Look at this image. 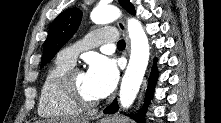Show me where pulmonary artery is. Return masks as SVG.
Masks as SVG:
<instances>
[{"label": "pulmonary artery", "mask_w": 221, "mask_h": 123, "mask_svg": "<svg viewBox=\"0 0 221 123\" xmlns=\"http://www.w3.org/2000/svg\"><path fill=\"white\" fill-rule=\"evenodd\" d=\"M117 40V32L113 28H101L94 30L82 41L73 46L63 49L58 57L74 65L80 51L92 48L101 44H108Z\"/></svg>", "instance_id": "e3ab8cb5"}]
</instances>
